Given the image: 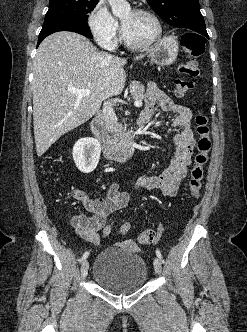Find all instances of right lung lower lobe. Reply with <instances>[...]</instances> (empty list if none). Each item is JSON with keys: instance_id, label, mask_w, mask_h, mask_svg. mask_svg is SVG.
<instances>
[{"instance_id": "98d812e1", "label": "right lung lower lobe", "mask_w": 247, "mask_h": 332, "mask_svg": "<svg viewBox=\"0 0 247 332\" xmlns=\"http://www.w3.org/2000/svg\"><path fill=\"white\" fill-rule=\"evenodd\" d=\"M58 31H72L84 35L88 38H92V34L87 23L77 19L53 18L44 20V24L38 37L37 45H39L48 35Z\"/></svg>"}]
</instances>
